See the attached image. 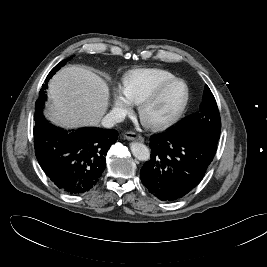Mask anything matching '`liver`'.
Masks as SVG:
<instances>
[{
  "label": "liver",
  "mask_w": 267,
  "mask_h": 267,
  "mask_svg": "<svg viewBox=\"0 0 267 267\" xmlns=\"http://www.w3.org/2000/svg\"><path fill=\"white\" fill-rule=\"evenodd\" d=\"M49 119L63 127L98 126L108 108L109 88L98 75L81 66H69L50 80Z\"/></svg>",
  "instance_id": "liver-1"
}]
</instances>
